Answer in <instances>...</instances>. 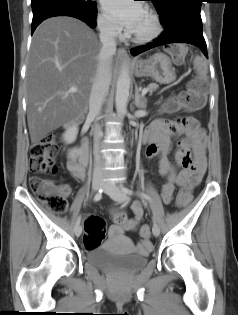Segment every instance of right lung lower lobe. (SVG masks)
<instances>
[{
  "instance_id": "right-lung-lower-lobe-1",
  "label": "right lung lower lobe",
  "mask_w": 238,
  "mask_h": 315,
  "mask_svg": "<svg viewBox=\"0 0 238 315\" xmlns=\"http://www.w3.org/2000/svg\"><path fill=\"white\" fill-rule=\"evenodd\" d=\"M33 20L32 34L45 19L55 16H71L78 18L90 27H95L97 7H86L69 0H32Z\"/></svg>"
}]
</instances>
